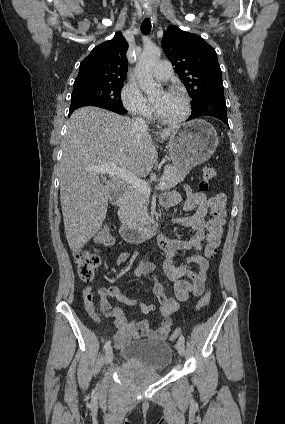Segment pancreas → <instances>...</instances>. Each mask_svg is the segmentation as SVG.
<instances>
[{"label": "pancreas", "instance_id": "cf45deb5", "mask_svg": "<svg viewBox=\"0 0 285 424\" xmlns=\"http://www.w3.org/2000/svg\"><path fill=\"white\" fill-rule=\"evenodd\" d=\"M183 177L174 166H167L161 178L164 182V190L175 187ZM148 203V195L133 188L129 187L126 190L125 196L120 203L118 216L120 221L133 228L140 227L143 223L144 215L146 212V204Z\"/></svg>", "mask_w": 285, "mask_h": 424}]
</instances>
